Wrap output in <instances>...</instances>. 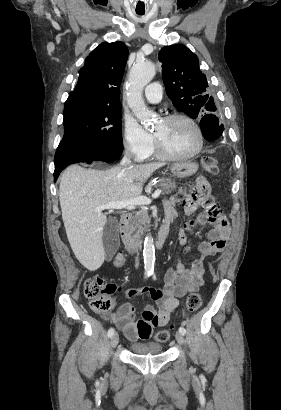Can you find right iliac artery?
I'll return each instance as SVG.
<instances>
[{
	"label": "right iliac artery",
	"mask_w": 281,
	"mask_h": 410,
	"mask_svg": "<svg viewBox=\"0 0 281 410\" xmlns=\"http://www.w3.org/2000/svg\"><path fill=\"white\" fill-rule=\"evenodd\" d=\"M147 276H149V275H146L145 277H147ZM114 333H115L114 328H110V329L108 330V337H112V336L114 335Z\"/></svg>",
	"instance_id": "obj_1"
}]
</instances>
